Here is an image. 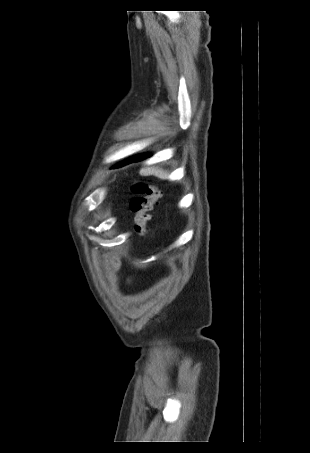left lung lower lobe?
Here are the masks:
<instances>
[{
	"label": "left lung lower lobe",
	"mask_w": 310,
	"mask_h": 453,
	"mask_svg": "<svg viewBox=\"0 0 310 453\" xmlns=\"http://www.w3.org/2000/svg\"><path fill=\"white\" fill-rule=\"evenodd\" d=\"M147 157H149L148 154L138 155V156H135V157L131 158L129 163L141 161V160L146 159ZM129 163H128V164H129Z\"/></svg>",
	"instance_id": "obj_1"
}]
</instances>
